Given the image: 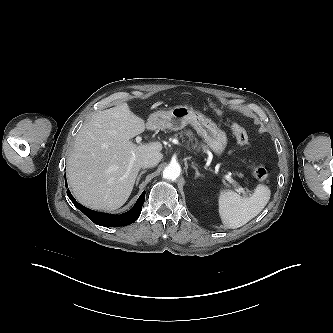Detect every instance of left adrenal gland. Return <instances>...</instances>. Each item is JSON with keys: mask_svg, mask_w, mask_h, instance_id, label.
Returning a JSON list of instances; mask_svg holds the SVG:
<instances>
[{"mask_svg": "<svg viewBox=\"0 0 333 333\" xmlns=\"http://www.w3.org/2000/svg\"><path fill=\"white\" fill-rule=\"evenodd\" d=\"M191 167H192L193 169H195V172H196V173H195V178H198V177L202 176V175L199 173L198 168L194 165V163H192Z\"/></svg>", "mask_w": 333, "mask_h": 333, "instance_id": "1", "label": "left adrenal gland"}]
</instances>
